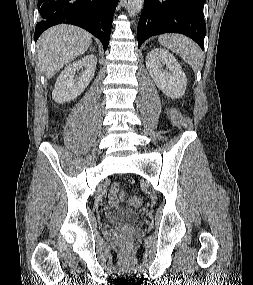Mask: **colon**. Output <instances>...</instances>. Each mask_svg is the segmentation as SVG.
Masks as SVG:
<instances>
[{
    "mask_svg": "<svg viewBox=\"0 0 253 285\" xmlns=\"http://www.w3.org/2000/svg\"><path fill=\"white\" fill-rule=\"evenodd\" d=\"M128 203L135 208L140 207L143 204V200L139 196H133L128 199Z\"/></svg>",
    "mask_w": 253,
    "mask_h": 285,
    "instance_id": "colon-1",
    "label": "colon"
}]
</instances>
